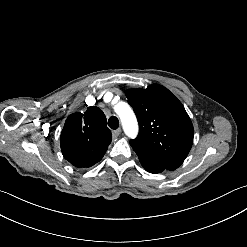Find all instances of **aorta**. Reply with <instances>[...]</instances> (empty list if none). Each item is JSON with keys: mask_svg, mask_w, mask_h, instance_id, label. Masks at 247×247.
<instances>
[{"mask_svg": "<svg viewBox=\"0 0 247 247\" xmlns=\"http://www.w3.org/2000/svg\"><path fill=\"white\" fill-rule=\"evenodd\" d=\"M114 109L121 119L126 135L130 138L136 137L138 133V123L131 107L125 102H119Z\"/></svg>", "mask_w": 247, "mask_h": 247, "instance_id": "aorta-1", "label": "aorta"}]
</instances>
